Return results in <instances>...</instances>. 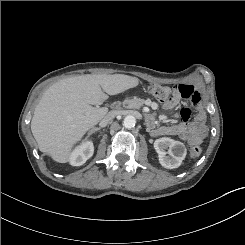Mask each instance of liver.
Segmentation results:
<instances>
[{"label": "liver", "mask_w": 245, "mask_h": 245, "mask_svg": "<svg viewBox=\"0 0 245 245\" xmlns=\"http://www.w3.org/2000/svg\"><path fill=\"white\" fill-rule=\"evenodd\" d=\"M139 79L124 74L79 75L60 80L43 94L34 110L31 131L42 152L53 160L69 161L73 147L102 120L108 95L138 86Z\"/></svg>", "instance_id": "1"}]
</instances>
